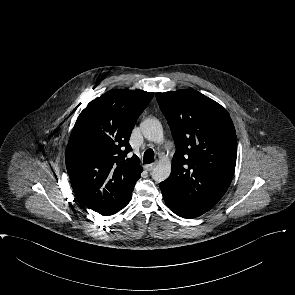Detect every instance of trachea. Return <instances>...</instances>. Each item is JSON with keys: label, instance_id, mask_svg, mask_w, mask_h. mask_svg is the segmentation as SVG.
I'll return each instance as SVG.
<instances>
[{"label": "trachea", "instance_id": "3493384b", "mask_svg": "<svg viewBox=\"0 0 295 295\" xmlns=\"http://www.w3.org/2000/svg\"><path fill=\"white\" fill-rule=\"evenodd\" d=\"M154 161V151L152 149H147L144 152L143 162L144 164H149Z\"/></svg>", "mask_w": 295, "mask_h": 295}]
</instances>
